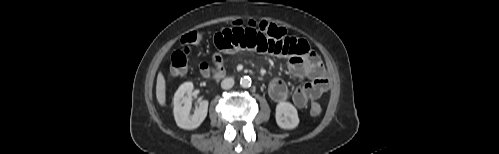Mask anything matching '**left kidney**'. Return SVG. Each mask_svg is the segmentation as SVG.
Instances as JSON below:
<instances>
[{
	"label": "left kidney",
	"mask_w": 499,
	"mask_h": 154,
	"mask_svg": "<svg viewBox=\"0 0 499 154\" xmlns=\"http://www.w3.org/2000/svg\"><path fill=\"white\" fill-rule=\"evenodd\" d=\"M276 123L283 129H294L299 124L297 109L289 102H279L276 106Z\"/></svg>",
	"instance_id": "left-kidney-1"
}]
</instances>
